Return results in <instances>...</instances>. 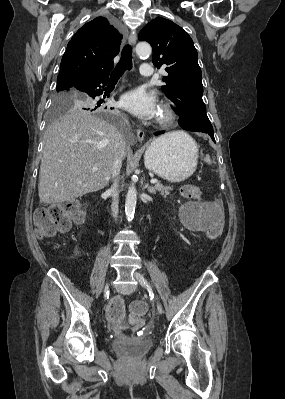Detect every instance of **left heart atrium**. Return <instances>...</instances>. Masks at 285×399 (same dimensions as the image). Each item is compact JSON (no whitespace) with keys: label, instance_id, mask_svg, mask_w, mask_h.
<instances>
[{"label":"left heart atrium","instance_id":"1","mask_svg":"<svg viewBox=\"0 0 285 399\" xmlns=\"http://www.w3.org/2000/svg\"><path fill=\"white\" fill-rule=\"evenodd\" d=\"M120 104L125 110L141 119H151L158 115L155 97L143 88H136L125 93Z\"/></svg>","mask_w":285,"mask_h":399}]
</instances>
